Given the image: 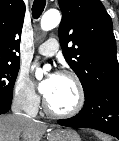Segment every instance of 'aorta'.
<instances>
[{"mask_svg": "<svg viewBox=\"0 0 119 141\" xmlns=\"http://www.w3.org/2000/svg\"><path fill=\"white\" fill-rule=\"evenodd\" d=\"M61 21V15L59 11L57 10H49L44 13V15L41 18V29L44 31H49L56 26L59 25ZM49 69V66H45L43 69L38 68L36 70V78L41 79L43 77V74Z\"/></svg>", "mask_w": 119, "mask_h": 141, "instance_id": "obj_1", "label": "aorta"}]
</instances>
